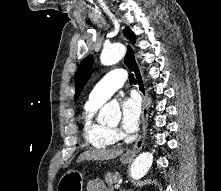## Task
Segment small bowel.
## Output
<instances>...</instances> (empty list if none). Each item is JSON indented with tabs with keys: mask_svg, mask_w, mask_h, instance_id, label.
<instances>
[{
	"mask_svg": "<svg viewBox=\"0 0 221 191\" xmlns=\"http://www.w3.org/2000/svg\"><path fill=\"white\" fill-rule=\"evenodd\" d=\"M87 191H110L99 179H90L86 185Z\"/></svg>",
	"mask_w": 221,
	"mask_h": 191,
	"instance_id": "1",
	"label": "small bowel"
}]
</instances>
